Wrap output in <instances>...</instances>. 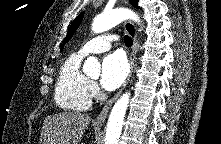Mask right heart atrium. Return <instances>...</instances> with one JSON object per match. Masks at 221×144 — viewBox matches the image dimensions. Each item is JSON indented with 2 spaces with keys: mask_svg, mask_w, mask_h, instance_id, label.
<instances>
[{
  "mask_svg": "<svg viewBox=\"0 0 221 144\" xmlns=\"http://www.w3.org/2000/svg\"><path fill=\"white\" fill-rule=\"evenodd\" d=\"M88 93L90 95V97H97L99 94V89L97 84L94 81H89V85H88Z\"/></svg>",
  "mask_w": 221,
  "mask_h": 144,
  "instance_id": "right-heart-atrium-1",
  "label": "right heart atrium"
}]
</instances>
